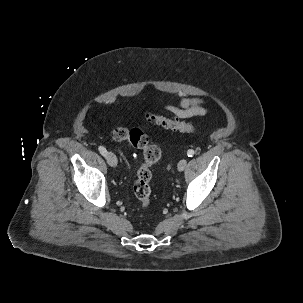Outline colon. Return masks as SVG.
Returning <instances> with one entry per match:
<instances>
[{"label": "colon", "instance_id": "1", "mask_svg": "<svg viewBox=\"0 0 303 303\" xmlns=\"http://www.w3.org/2000/svg\"><path fill=\"white\" fill-rule=\"evenodd\" d=\"M144 117L147 121L153 122L167 130L190 134L195 132L193 124L186 121L167 118L150 111L146 112ZM111 137L118 142L127 141L133 147L143 152L144 161L137 171V176L133 184V192L139 200L141 207L145 209L150 204L151 189L149 184L152 177L151 167L160 160L162 154L161 149L157 145L150 144L147 135L137 128L131 130L123 127L114 128L111 131Z\"/></svg>", "mask_w": 303, "mask_h": 303}]
</instances>
